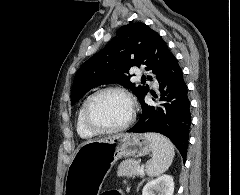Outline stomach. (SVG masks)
Instances as JSON below:
<instances>
[{"label": "stomach", "instance_id": "obj_1", "mask_svg": "<svg viewBox=\"0 0 240 195\" xmlns=\"http://www.w3.org/2000/svg\"><path fill=\"white\" fill-rule=\"evenodd\" d=\"M151 151L144 133H116L88 139L75 149L69 163L65 195H99L102 183L120 157L134 159Z\"/></svg>", "mask_w": 240, "mask_h": 195}]
</instances>
